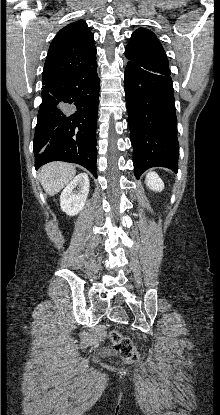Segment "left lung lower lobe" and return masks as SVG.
<instances>
[{"mask_svg":"<svg viewBox=\"0 0 220 415\" xmlns=\"http://www.w3.org/2000/svg\"><path fill=\"white\" fill-rule=\"evenodd\" d=\"M169 67L129 61L125 95L134 172L137 178L155 166L178 171L179 143Z\"/></svg>","mask_w":220,"mask_h":415,"instance_id":"left-lung-lower-lobe-1","label":"left lung lower lobe"}]
</instances>
